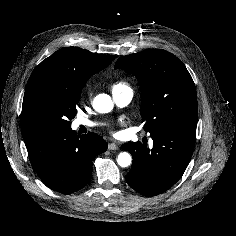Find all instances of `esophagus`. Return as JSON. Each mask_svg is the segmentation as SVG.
<instances>
[{
    "mask_svg": "<svg viewBox=\"0 0 236 236\" xmlns=\"http://www.w3.org/2000/svg\"><path fill=\"white\" fill-rule=\"evenodd\" d=\"M108 149H109V150H117V149H118V146H117L116 143L111 142V143L108 144Z\"/></svg>",
    "mask_w": 236,
    "mask_h": 236,
    "instance_id": "34e87169",
    "label": "esophagus"
}]
</instances>
